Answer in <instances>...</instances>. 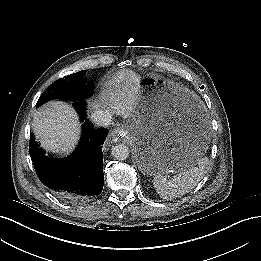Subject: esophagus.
<instances>
[{"label": "esophagus", "mask_w": 261, "mask_h": 261, "mask_svg": "<svg viewBox=\"0 0 261 261\" xmlns=\"http://www.w3.org/2000/svg\"><path fill=\"white\" fill-rule=\"evenodd\" d=\"M123 135L122 131L120 129H117V130H114L112 133H111V136H112V141H117V139L119 137H121ZM123 137V136H122Z\"/></svg>", "instance_id": "1"}]
</instances>
